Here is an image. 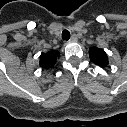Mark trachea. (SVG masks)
<instances>
[{"instance_id":"obj_1","label":"trachea","mask_w":127,"mask_h":127,"mask_svg":"<svg viewBox=\"0 0 127 127\" xmlns=\"http://www.w3.org/2000/svg\"><path fill=\"white\" fill-rule=\"evenodd\" d=\"M62 38L63 40H69L70 39V32L67 29H64L62 31Z\"/></svg>"}]
</instances>
